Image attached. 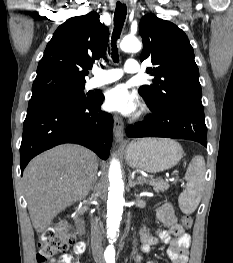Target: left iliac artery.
Listing matches in <instances>:
<instances>
[{
    "instance_id": "44dca946",
    "label": "left iliac artery",
    "mask_w": 233,
    "mask_h": 263,
    "mask_svg": "<svg viewBox=\"0 0 233 263\" xmlns=\"http://www.w3.org/2000/svg\"><path fill=\"white\" fill-rule=\"evenodd\" d=\"M108 263H115V261L113 260V261H110V262H108Z\"/></svg>"
}]
</instances>
